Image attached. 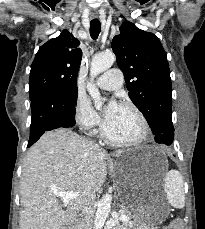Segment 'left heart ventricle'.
Wrapping results in <instances>:
<instances>
[{
  "label": "left heart ventricle",
  "mask_w": 205,
  "mask_h": 229,
  "mask_svg": "<svg viewBox=\"0 0 205 229\" xmlns=\"http://www.w3.org/2000/svg\"><path fill=\"white\" fill-rule=\"evenodd\" d=\"M105 124L109 135L117 140L135 139L141 131V125L136 114L122 105L105 120Z\"/></svg>",
  "instance_id": "b2bd125f"
}]
</instances>
